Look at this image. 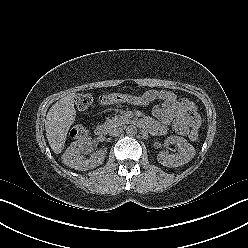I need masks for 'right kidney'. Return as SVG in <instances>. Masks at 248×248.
<instances>
[{
    "label": "right kidney",
    "instance_id": "obj_1",
    "mask_svg": "<svg viewBox=\"0 0 248 248\" xmlns=\"http://www.w3.org/2000/svg\"><path fill=\"white\" fill-rule=\"evenodd\" d=\"M92 144L91 137H83L73 142L62 155V162L75 170L86 171L103 163L106 150H98L86 159L82 154Z\"/></svg>",
    "mask_w": 248,
    "mask_h": 248
}]
</instances>
